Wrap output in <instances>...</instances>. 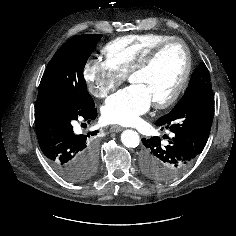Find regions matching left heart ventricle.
<instances>
[{
	"mask_svg": "<svg viewBox=\"0 0 236 236\" xmlns=\"http://www.w3.org/2000/svg\"><path fill=\"white\" fill-rule=\"evenodd\" d=\"M185 67L182 47L177 44L167 46L145 71L129 78L132 84L143 86L152 102L166 98L180 80Z\"/></svg>",
	"mask_w": 236,
	"mask_h": 236,
	"instance_id": "b2bd125f",
	"label": "left heart ventricle"
}]
</instances>
